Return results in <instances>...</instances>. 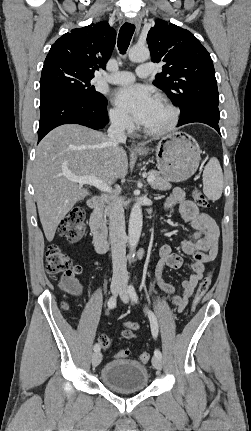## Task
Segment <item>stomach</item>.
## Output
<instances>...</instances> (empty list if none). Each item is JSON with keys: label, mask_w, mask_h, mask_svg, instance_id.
Masks as SVG:
<instances>
[{"label": "stomach", "mask_w": 251, "mask_h": 431, "mask_svg": "<svg viewBox=\"0 0 251 431\" xmlns=\"http://www.w3.org/2000/svg\"><path fill=\"white\" fill-rule=\"evenodd\" d=\"M155 152L160 174L171 182H182L197 170L201 150L197 142L183 132L163 137L152 149ZM149 149H142L139 155H147Z\"/></svg>", "instance_id": "stomach-1"}]
</instances>
